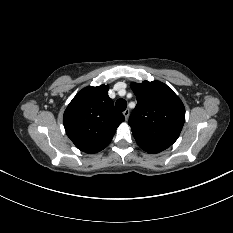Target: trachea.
I'll list each match as a JSON object with an SVG mask.
<instances>
[{"label":"trachea","mask_w":233,"mask_h":233,"mask_svg":"<svg viewBox=\"0 0 233 233\" xmlns=\"http://www.w3.org/2000/svg\"><path fill=\"white\" fill-rule=\"evenodd\" d=\"M126 107H127V102L124 100V99H118L116 101V108L119 110V111H125L126 110Z\"/></svg>","instance_id":"3493384b"}]
</instances>
